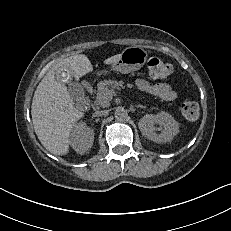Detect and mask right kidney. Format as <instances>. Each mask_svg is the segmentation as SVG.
I'll return each mask as SVG.
<instances>
[{"label": "right kidney", "mask_w": 231, "mask_h": 231, "mask_svg": "<svg viewBox=\"0 0 231 231\" xmlns=\"http://www.w3.org/2000/svg\"><path fill=\"white\" fill-rule=\"evenodd\" d=\"M94 131L86 123L79 122L74 126L70 136V145L78 154H84L93 145Z\"/></svg>", "instance_id": "ca27d5eb"}]
</instances>
